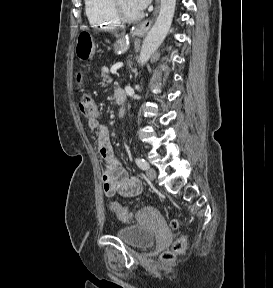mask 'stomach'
I'll return each mask as SVG.
<instances>
[{
  "mask_svg": "<svg viewBox=\"0 0 273 288\" xmlns=\"http://www.w3.org/2000/svg\"><path fill=\"white\" fill-rule=\"evenodd\" d=\"M129 47V41L126 37L119 38L114 44L116 53H123ZM95 51L94 39L89 34L81 33L77 39L75 53L80 60H87L92 57Z\"/></svg>",
  "mask_w": 273,
  "mask_h": 288,
  "instance_id": "stomach-1",
  "label": "stomach"
}]
</instances>
